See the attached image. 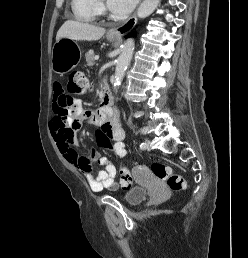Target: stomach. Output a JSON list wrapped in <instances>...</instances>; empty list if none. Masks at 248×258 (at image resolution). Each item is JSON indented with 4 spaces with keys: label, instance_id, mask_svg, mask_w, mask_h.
Masks as SVG:
<instances>
[{
    "label": "stomach",
    "instance_id": "0dacf381",
    "mask_svg": "<svg viewBox=\"0 0 248 258\" xmlns=\"http://www.w3.org/2000/svg\"><path fill=\"white\" fill-rule=\"evenodd\" d=\"M111 42L117 40L116 37L107 35ZM82 51L77 42L70 38H61L53 46L51 54L52 70L60 75L71 71L80 62Z\"/></svg>",
    "mask_w": 248,
    "mask_h": 258
}]
</instances>
